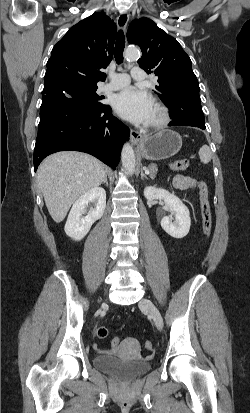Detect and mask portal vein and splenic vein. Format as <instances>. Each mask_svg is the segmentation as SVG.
Segmentation results:
<instances>
[{
    "mask_svg": "<svg viewBox=\"0 0 250 413\" xmlns=\"http://www.w3.org/2000/svg\"><path fill=\"white\" fill-rule=\"evenodd\" d=\"M145 170H146V168H145ZM146 173H148V174H149V173H150V171H149V170H146Z\"/></svg>",
    "mask_w": 250,
    "mask_h": 413,
    "instance_id": "portal-vein-and-splenic-vein-1",
    "label": "portal vein and splenic vein"
}]
</instances>
